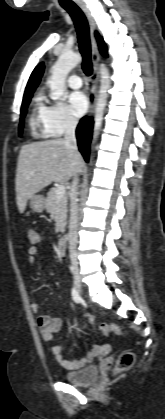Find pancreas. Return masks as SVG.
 <instances>
[{"mask_svg":"<svg viewBox=\"0 0 165 419\" xmlns=\"http://www.w3.org/2000/svg\"><path fill=\"white\" fill-rule=\"evenodd\" d=\"M67 195H63L60 199L56 196V188H51L47 193L45 200V208L55 220V232H63L67 220Z\"/></svg>","mask_w":165,"mask_h":419,"instance_id":"1","label":"pancreas"}]
</instances>
